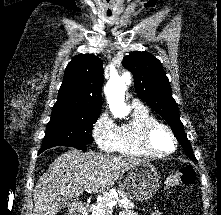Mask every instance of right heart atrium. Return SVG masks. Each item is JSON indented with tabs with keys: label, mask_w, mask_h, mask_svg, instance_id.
<instances>
[{
	"label": "right heart atrium",
	"mask_w": 221,
	"mask_h": 215,
	"mask_svg": "<svg viewBox=\"0 0 221 215\" xmlns=\"http://www.w3.org/2000/svg\"><path fill=\"white\" fill-rule=\"evenodd\" d=\"M119 126L108 112H102L93 124L92 137L99 149L113 152L116 149Z\"/></svg>",
	"instance_id": "obj_1"
}]
</instances>
